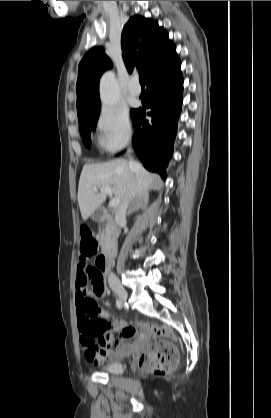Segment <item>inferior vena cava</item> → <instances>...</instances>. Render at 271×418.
<instances>
[{"label": "inferior vena cava", "instance_id": "602c4592", "mask_svg": "<svg viewBox=\"0 0 271 418\" xmlns=\"http://www.w3.org/2000/svg\"><path fill=\"white\" fill-rule=\"evenodd\" d=\"M134 165H135L134 162H130L131 167H133ZM135 194H136V183H135L134 176L131 175V179H130V182L128 184L127 195L123 199L121 205L118 207V209L116 211L115 221H116L117 224L125 222L126 210H127V207H128V203L135 196ZM118 282L119 281H118V278L116 277V275L114 273H110L109 276H108V283L110 285H113V284H117Z\"/></svg>", "mask_w": 271, "mask_h": 418}]
</instances>
